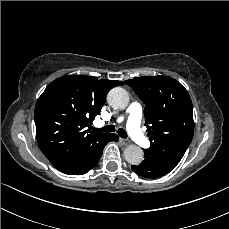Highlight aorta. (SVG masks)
I'll use <instances>...</instances> for the list:
<instances>
[{"instance_id": "aorta-1", "label": "aorta", "mask_w": 229, "mask_h": 229, "mask_svg": "<svg viewBox=\"0 0 229 229\" xmlns=\"http://www.w3.org/2000/svg\"><path fill=\"white\" fill-rule=\"evenodd\" d=\"M107 102L114 109H125L129 104L128 92L121 87H115L108 93ZM124 157L129 164L139 165L143 161L144 152L137 145H128L124 150Z\"/></svg>"}]
</instances>
